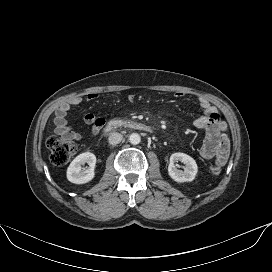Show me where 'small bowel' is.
<instances>
[{
  "mask_svg": "<svg viewBox=\"0 0 272 272\" xmlns=\"http://www.w3.org/2000/svg\"><path fill=\"white\" fill-rule=\"evenodd\" d=\"M176 97H183L182 93L177 92ZM98 98L97 93H89L86 96L87 101H93ZM135 100V96H130ZM82 101L81 97L75 96L67 102L61 104L55 113L54 126L55 131L66 140L79 141L82 135L68 124V113L73 105ZM200 107L203 110L201 116L195 121L196 128L205 131L206 137L200 149V155L206 160H214L218 166H223L229 156L230 140L227 134V125L221 119L219 112L206 99L199 100ZM85 123L91 128L90 135L95 136L105 123L104 118L88 113L84 117Z\"/></svg>",
  "mask_w": 272,
  "mask_h": 272,
  "instance_id": "1",
  "label": "small bowel"
}]
</instances>
